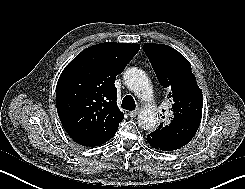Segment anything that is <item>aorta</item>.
Returning a JSON list of instances; mask_svg holds the SVG:
<instances>
[{
    "instance_id": "aorta-1",
    "label": "aorta",
    "mask_w": 245,
    "mask_h": 189,
    "mask_svg": "<svg viewBox=\"0 0 245 189\" xmlns=\"http://www.w3.org/2000/svg\"><path fill=\"white\" fill-rule=\"evenodd\" d=\"M124 82L127 87L142 100H150L153 94L151 82L147 74L138 68L125 71ZM138 124L144 130H150L157 124V113L152 106H146L138 115Z\"/></svg>"
}]
</instances>
